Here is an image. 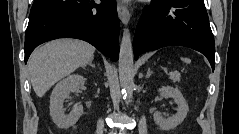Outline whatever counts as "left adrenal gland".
Instances as JSON below:
<instances>
[{"mask_svg":"<svg viewBox=\"0 0 239 134\" xmlns=\"http://www.w3.org/2000/svg\"><path fill=\"white\" fill-rule=\"evenodd\" d=\"M153 72L151 71L150 68H148L147 74H146V78H149L151 76Z\"/></svg>","mask_w":239,"mask_h":134,"instance_id":"1","label":"left adrenal gland"}]
</instances>
